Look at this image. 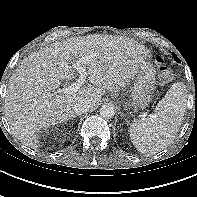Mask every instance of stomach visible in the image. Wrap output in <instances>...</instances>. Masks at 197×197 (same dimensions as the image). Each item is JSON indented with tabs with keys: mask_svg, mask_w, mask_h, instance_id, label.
Segmentation results:
<instances>
[{
	"mask_svg": "<svg viewBox=\"0 0 197 197\" xmlns=\"http://www.w3.org/2000/svg\"><path fill=\"white\" fill-rule=\"evenodd\" d=\"M155 83V70L151 62L148 59H144L138 65L130 98L123 103L125 109L130 113H136L141 109H145L152 102Z\"/></svg>",
	"mask_w": 197,
	"mask_h": 197,
	"instance_id": "obj_1",
	"label": "stomach"
}]
</instances>
